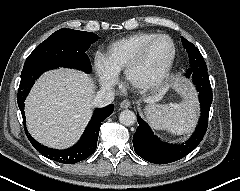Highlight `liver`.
I'll use <instances>...</instances> for the list:
<instances>
[{
	"mask_svg": "<svg viewBox=\"0 0 240 191\" xmlns=\"http://www.w3.org/2000/svg\"><path fill=\"white\" fill-rule=\"evenodd\" d=\"M94 91L92 78L81 71L60 68L46 72L25 102L29 133L48 147L73 145L91 118Z\"/></svg>",
	"mask_w": 240,
	"mask_h": 191,
	"instance_id": "liver-1",
	"label": "liver"
}]
</instances>
